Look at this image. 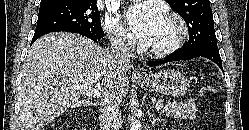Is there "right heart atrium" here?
<instances>
[{
	"label": "right heart atrium",
	"instance_id": "obj_1",
	"mask_svg": "<svg viewBox=\"0 0 249 130\" xmlns=\"http://www.w3.org/2000/svg\"><path fill=\"white\" fill-rule=\"evenodd\" d=\"M103 27L110 41L124 50H131L135 40L126 27L113 15H106L103 19Z\"/></svg>",
	"mask_w": 249,
	"mask_h": 130
}]
</instances>
